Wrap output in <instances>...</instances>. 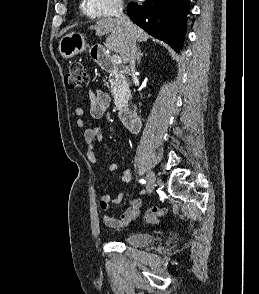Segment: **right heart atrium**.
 Masks as SVG:
<instances>
[{
	"instance_id": "obj_1",
	"label": "right heart atrium",
	"mask_w": 259,
	"mask_h": 294,
	"mask_svg": "<svg viewBox=\"0 0 259 294\" xmlns=\"http://www.w3.org/2000/svg\"><path fill=\"white\" fill-rule=\"evenodd\" d=\"M92 13L101 18L115 16L123 9V0H88Z\"/></svg>"
}]
</instances>
